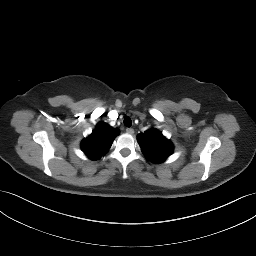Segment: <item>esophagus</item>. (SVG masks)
Instances as JSON below:
<instances>
[{"instance_id":"obj_1","label":"esophagus","mask_w":256,"mask_h":256,"mask_svg":"<svg viewBox=\"0 0 256 256\" xmlns=\"http://www.w3.org/2000/svg\"><path fill=\"white\" fill-rule=\"evenodd\" d=\"M126 132H127L128 134L132 135V134H134V129H132V128H127V129H126Z\"/></svg>"}]
</instances>
